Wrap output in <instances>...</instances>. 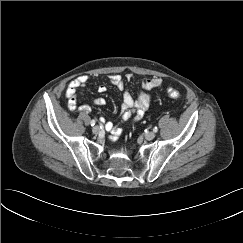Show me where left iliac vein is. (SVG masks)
Here are the masks:
<instances>
[{"label":"left iliac vein","instance_id":"1","mask_svg":"<svg viewBox=\"0 0 243 243\" xmlns=\"http://www.w3.org/2000/svg\"><path fill=\"white\" fill-rule=\"evenodd\" d=\"M154 137H155V133L152 132V131L147 132V133L145 134V138H146L147 140H152V139H154Z\"/></svg>","mask_w":243,"mask_h":243}]
</instances>
